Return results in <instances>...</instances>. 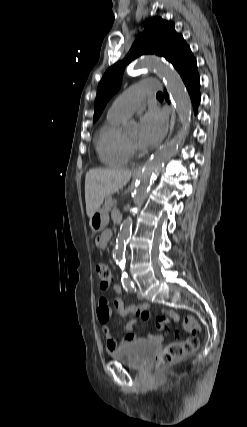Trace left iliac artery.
I'll list each match as a JSON object with an SVG mask.
<instances>
[{"label":"left iliac artery","mask_w":247,"mask_h":427,"mask_svg":"<svg viewBox=\"0 0 247 427\" xmlns=\"http://www.w3.org/2000/svg\"><path fill=\"white\" fill-rule=\"evenodd\" d=\"M121 281L126 291H129V292L135 291L134 283L126 273L122 274Z\"/></svg>","instance_id":"1"}]
</instances>
